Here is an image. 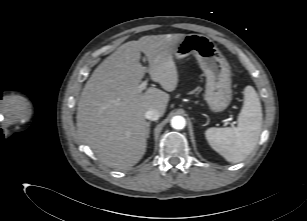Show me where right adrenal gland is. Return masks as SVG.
Wrapping results in <instances>:
<instances>
[{
  "mask_svg": "<svg viewBox=\"0 0 307 221\" xmlns=\"http://www.w3.org/2000/svg\"><path fill=\"white\" fill-rule=\"evenodd\" d=\"M150 125H151V123L149 122V123H148L147 138L150 137Z\"/></svg>",
  "mask_w": 307,
  "mask_h": 221,
  "instance_id": "obj_1",
  "label": "right adrenal gland"
}]
</instances>
